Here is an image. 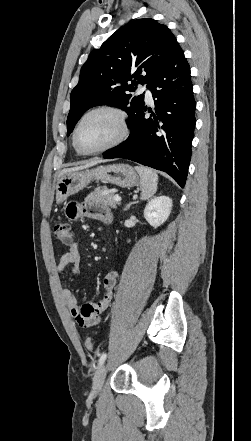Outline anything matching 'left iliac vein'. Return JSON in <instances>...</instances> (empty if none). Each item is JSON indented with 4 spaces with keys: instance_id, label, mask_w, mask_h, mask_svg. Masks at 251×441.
Here are the masks:
<instances>
[{
    "instance_id": "1",
    "label": "left iliac vein",
    "mask_w": 251,
    "mask_h": 441,
    "mask_svg": "<svg viewBox=\"0 0 251 441\" xmlns=\"http://www.w3.org/2000/svg\"><path fill=\"white\" fill-rule=\"evenodd\" d=\"M106 373H107V365L102 364L93 379V385H92L93 394L96 395L101 391Z\"/></svg>"
}]
</instances>
